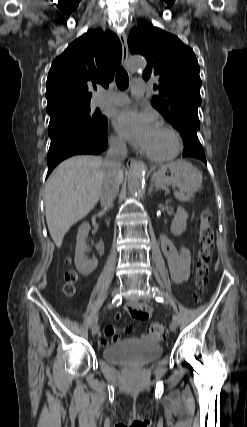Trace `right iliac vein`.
<instances>
[{
	"label": "right iliac vein",
	"instance_id": "obj_1",
	"mask_svg": "<svg viewBox=\"0 0 247 427\" xmlns=\"http://www.w3.org/2000/svg\"><path fill=\"white\" fill-rule=\"evenodd\" d=\"M118 294H119V288L116 287L113 289L111 295L114 297V296H117ZM91 331L93 335H96L99 332V325L97 322L91 326Z\"/></svg>",
	"mask_w": 247,
	"mask_h": 427
}]
</instances>
